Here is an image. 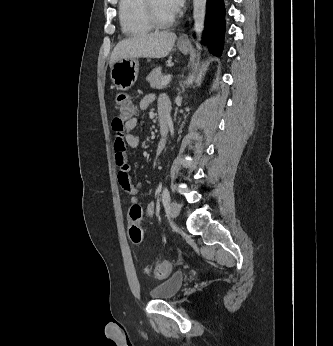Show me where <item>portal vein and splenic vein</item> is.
Here are the masks:
<instances>
[{"instance_id": "1", "label": "portal vein and splenic vein", "mask_w": 333, "mask_h": 346, "mask_svg": "<svg viewBox=\"0 0 333 346\" xmlns=\"http://www.w3.org/2000/svg\"><path fill=\"white\" fill-rule=\"evenodd\" d=\"M171 80V75H167L162 79V85L165 86L167 85Z\"/></svg>"}]
</instances>
